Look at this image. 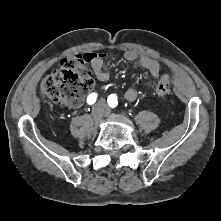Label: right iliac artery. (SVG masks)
<instances>
[{
  "instance_id": "82829eb1",
  "label": "right iliac artery",
  "mask_w": 221,
  "mask_h": 221,
  "mask_svg": "<svg viewBox=\"0 0 221 221\" xmlns=\"http://www.w3.org/2000/svg\"><path fill=\"white\" fill-rule=\"evenodd\" d=\"M97 99V94L96 93H91L88 97H87V103L89 105H92L96 102Z\"/></svg>"
}]
</instances>
